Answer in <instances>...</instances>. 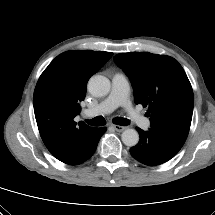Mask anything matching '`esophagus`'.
Returning <instances> with one entry per match:
<instances>
[{
    "label": "esophagus",
    "instance_id": "1",
    "mask_svg": "<svg viewBox=\"0 0 215 215\" xmlns=\"http://www.w3.org/2000/svg\"><path fill=\"white\" fill-rule=\"evenodd\" d=\"M117 132H122L124 131L125 129H127V127L125 126H120V125H113L112 126Z\"/></svg>",
    "mask_w": 215,
    "mask_h": 215
}]
</instances>
